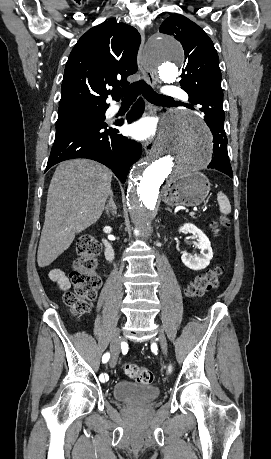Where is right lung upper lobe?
<instances>
[{
	"instance_id": "right-lung-upper-lobe-1",
	"label": "right lung upper lobe",
	"mask_w": 271,
	"mask_h": 459,
	"mask_svg": "<svg viewBox=\"0 0 271 459\" xmlns=\"http://www.w3.org/2000/svg\"><path fill=\"white\" fill-rule=\"evenodd\" d=\"M138 31L125 23L106 21L88 30L74 46L66 63L59 111L87 105H109L113 87L128 86L137 71Z\"/></svg>"
}]
</instances>
